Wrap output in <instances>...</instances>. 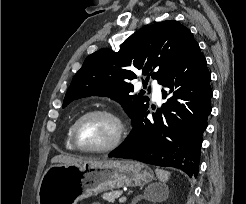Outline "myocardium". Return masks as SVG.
Wrapping results in <instances>:
<instances>
[{"label":"myocardium","mask_w":246,"mask_h":204,"mask_svg":"<svg viewBox=\"0 0 246 204\" xmlns=\"http://www.w3.org/2000/svg\"><path fill=\"white\" fill-rule=\"evenodd\" d=\"M91 116H104L109 119H111L116 126V132L112 140L102 146L97 148H85L82 147L77 140V131L79 128V125L84 121L85 119L91 117ZM126 134V126L122 120V118L115 112L108 110V109H93L90 111L85 112L81 116H79L76 121L72 125L71 129V141L75 149L85 152V153H92V154H100V153H107L110 151H113L116 149L120 144L122 143L124 137Z\"/></svg>","instance_id":"1"}]
</instances>
